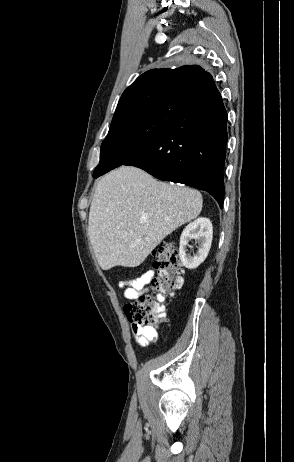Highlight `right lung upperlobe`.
I'll return each instance as SVG.
<instances>
[{"mask_svg": "<svg viewBox=\"0 0 294 462\" xmlns=\"http://www.w3.org/2000/svg\"><path fill=\"white\" fill-rule=\"evenodd\" d=\"M214 80L210 73L197 65L176 69H151L140 75L122 94L116 112L135 103L157 96L180 93L199 94L206 91Z\"/></svg>", "mask_w": 294, "mask_h": 462, "instance_id": "right-lung-upper-lobe-1", "label": "right lung upper lobe"}]
</instances>
